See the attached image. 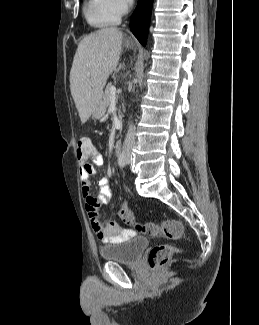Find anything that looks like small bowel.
<instances>
[{"label": "small bowel", "mask_w": 259, "mask_h": 325, "mask_svg": "<svg viewBox=\"0 0 259 325\" xmlns=\"http://www.w3.org/2000/svg\"><path fill=\"white\" fill-rule=\"evenodd\" d=\"M90 159L81 161L79 173L82 186V196L91 227L97 238L103 243L115 244L127 241L134 236L133 231L122 227L113 220L104 221L100 217L99 207L102 204L108 203L111 196L110 180L107 176L102 177L98 182L99 191L97 195H92L90 179L97 173L95 166H102L104 164V158L97 152V150H94ZM127 191L129 192L128 189Z\"/></svg>", "instance_id": "1"}]
</instances>
